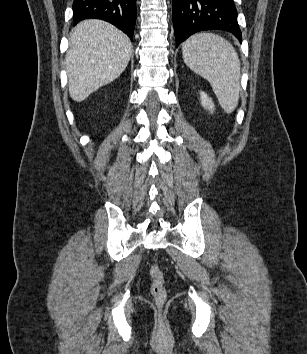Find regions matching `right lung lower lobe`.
Listing matches in <instances>:
<instances>
[{
  "mask_svg": "<svg viewBox=\"0 0 307 354\" xmlns=\"http://www.w3.org/2000/svg\"><path fill=\"white\" fill-rule=\"evenodd\" d=\"M75 24L87 18L102 19L115 25L130 39L136 22V0H74Z\"/></svg>",
  "mask_w": 307,
  "mask_h": 354,
  "instance_id": "obj_1",
  "label": "right lung lower lobe"
}]
</instances>
